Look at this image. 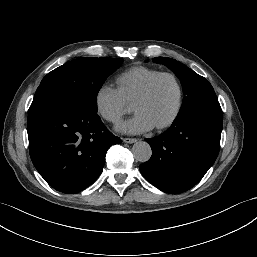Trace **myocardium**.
Wrapping results in <instances>:
<instances>
[{"instance_id":"1","label":"myocardium","mask_w":257,"mask_h":257,"mask_svg":"<svg viewBox=\"0 0 257 257\" xmlns=\"http://www.w3.org/2000/svg\"><path fill=\"white\" fill-rule=\"evenodd\" d=\"M163 78H170L175 83L176 88H177V103H176V107H175L172 115L163 123L155 126V128L158 130L166 129V128L170 127L172 124H174L182 111L183 103H184V89H183L180 79L173 73L162 72L159 75H157L156 77H154L144 87V89L140 92V94L136 97V99L133 102V107H134L137 103L147 99L150 96V94L152 93L156 84Z\"/></svg>"}]
</instances>
